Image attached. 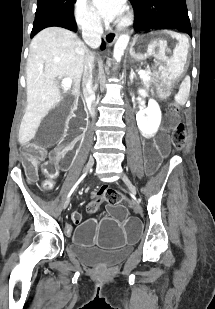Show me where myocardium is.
I'll use <instances>...</instances> for the list:
<instances>
[{
	"label": "myocardium",
	"mask_w": 215,
	"mask_h": 309,
	"mask_svg": "<svg viewBox=\"0 0 215 309\" xmlns=\"http://www.w3.org/2000/svg\"><path fill=\"white\" fill-rule=\"evenodd\" d=\"M129 15H130V14H129ZM127 18H128V17H127ZM118 23H119V22H118ZM121 23H122L123 25H126V24H127V21H126V20H123ZM129 23H130V22H129ZM118 27H119V28H120V27L122 28L123 26H122V25H121V26L119 25Z\"/></svg>",
	"instance_id": "myocardium-1"
}]
</instances>
